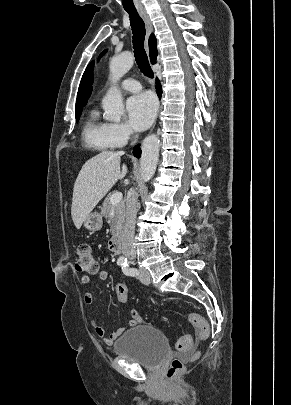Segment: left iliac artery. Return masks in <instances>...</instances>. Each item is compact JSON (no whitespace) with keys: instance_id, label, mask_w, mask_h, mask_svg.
<instances>
[{"instance_id":"44dca946","label":"left iliac artery","mask_w":291,"mask_h":405,"mask_svg":"<svg viewBox=\"0 0 291 405\" xmlns=\"http://www.w3.org/2000/svg\"><path fill=\"white\" fill-rule=\"evenodd\" d=\"M122 271L125 275L128 276H136L138 275V270L135 268H130L129 265L127 263H125L124 265H122Z\"/></svg>"}]
</instances>
